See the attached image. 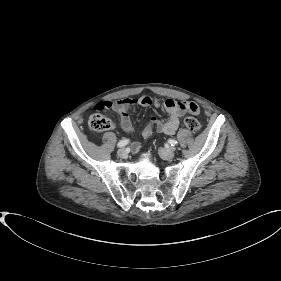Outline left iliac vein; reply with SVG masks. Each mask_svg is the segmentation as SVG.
<instances>
[{"label":"left iliac vein","mask_w":281,"mask_h":281,"mask_svg":"<svg viewBox=\"0 0 281 281\" xmlns=\"http://www.w3.org/2000/svg\"><path fill=\"white\" fill-rule=\"evenodd\" d=\"M159 154L160 156L165 160H171L175 156V148H159Z\"/></svg>","instance_id":"obj_1"}]
</instances>
